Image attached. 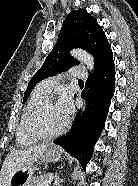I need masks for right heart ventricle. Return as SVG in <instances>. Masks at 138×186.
<instances>
[{
	"instance_id": "right-heart-ventricle-1",
	"label": "right heart ventricle",
	"mask_w": 138,
	"mask_h": 186,
	"mask_svg": "<svg viewBox=\"0 0 138 186\" xmlns=\"http://www.w3.org/2000/svg\"><path fill=\"white\" fill-rule=\"evenodd\" d=\"M48 93L42 88L41 83L35 88L32 95L30 96L24 111L21 115L20 122L16 131V143L18 146L25 147L32 145L36 140L28 137L24 132V121L28 112L41 100L46 98Z\"/></svg>"
}]
</instances>
